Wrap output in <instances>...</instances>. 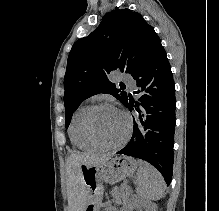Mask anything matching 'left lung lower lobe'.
I'll use <instances>...</instances> for the list:
<instances>
[{
    "label": "left lung lower lobe",
    "instance_id": "0a47b994",
    "mask_svg": "<svg viewBox=\"0 0 219 211\" xmlns=\"http://www.w3.org/2000/svg\"><path fill=\"white\" fill-rule=\"evenodd\" d=\"M137 82V101L129 95L123 104L136 110L130 142L118 154L148 161L171 182L174 161L175 84L165 50L146 68L132 76Z\"/></svg>",
    "mask_w": 219,
    "mask_h": 211
}]
</instances>
